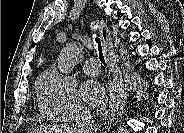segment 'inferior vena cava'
Listing matches in <instances>:
<instances>
[{
  "instance_id": "1",
  "label": "inferior vena cava",
  "mask_w": 184,
  "mask_h": 133,
  "mask_svg": "<svg viewBox=\"0 0 184 133\" xmlns=\"http://www.w3.org/2000/svg\"><path fill=\"white\" fill-rule=\"evenodd\" d=\"M93 120L91 112L85 107L78 105L75 110V133H91Z\"/></svg>"
}]
</instances>
